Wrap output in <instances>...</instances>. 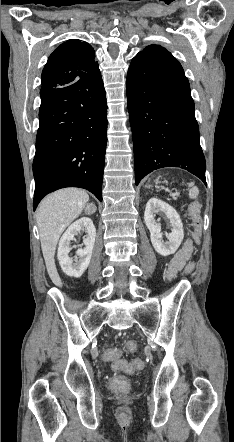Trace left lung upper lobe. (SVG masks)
Returning <instances> with one entry per match:
<instances>
[{
	"label": "left lung upper lobe",
	"mask_w": 234,
	"mask_h": 442,
	"mask_svg": "<svg viewBox=\"0 0 234 442\" xmlns=\"http://www.w3.org/2000/svg\"><path fill=\"white\" fill-rule=\"evenodd\" d=\"M140 54H163L169 57H173L170 52L159 45H150L144 51H141Z\"/></svg>",
	"instance_id": "obj_1"
}]
</instances>
